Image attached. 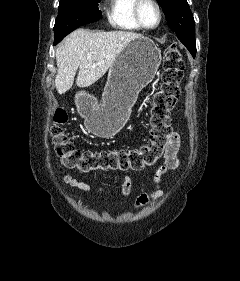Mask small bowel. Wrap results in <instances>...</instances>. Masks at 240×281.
<instances>
[{
    "instance_id": "obj_1",
    "label": "small bowel",
    "mask_w": 240,
    "mask_h": 281,
    "mask_svg": "<svg viewBox=\"0 0 240 281\" xmlns=\"http://www.w3.org/2000/svg\"><path fill=\"white\" fill-rule=\"evenodd\" d=\"M180 149V136L177 132H172L169 136V144L167 148V153L165 156V162L161 165L155 172L153 176V182L155 184V190L151 193H142L138 196L135 202V207L141 208L145 205H148L153 200L161 197L163 191L160 187L162 177L170 170H175L180 166V160L178 158V153ZM63 181L72 188H76L82 192L89 193L91 192V186L86 182L79 181L71 175H64ZM135 183L131 180L130 177L125 176L121 191L122 194L126 197L130 196L135 188ZM99 193H107V189L98 188ZM111 210V208H109Z\"/></svg>"
}]
</instances>
